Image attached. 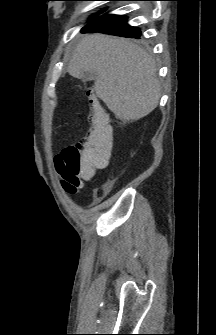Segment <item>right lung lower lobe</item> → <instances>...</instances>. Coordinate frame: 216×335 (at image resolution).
Segmentation results:
<instances>
[{
  "instance_id": "1",
  "label": "right lung lower lobe",
  "mask_w": 216,
  "mask_h": 335,
  "mask_svg": "<svg viewBox=\"0 0 216 335\" xmlns=\"http://www.w3.org/2000/svg\"><path fill=\"white\" fill-rule=\"evenodd\" d=\"M83 33L101 32L116 36L139 39L141 31L127 24L126 16L105 15L98 17L84 26Z\"/></svg>"
}]
</instances>
